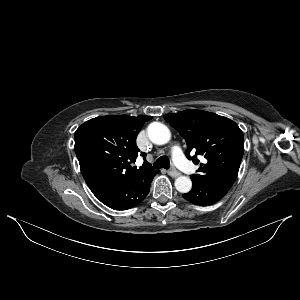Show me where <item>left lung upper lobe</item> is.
<instances>
[{"instance_id":"5c2ea615","label":"left lung upper lobe","mask_w":300,"mask_h":300,"mask_svg":"<svg viewBox=\"0 0 300 300\" xmlns=\"http://www.w3.org/2000/svg\"><path fill=\"white\" fill-rule=\"evenodd\" d=\"M187 143L185 155L195 164L205 158L192 181L229 191L237 177L244 151V136L232 120L202 110H185L164 116ZM195 155L190 156V152Z\"/></svg>"}]
</instances>
